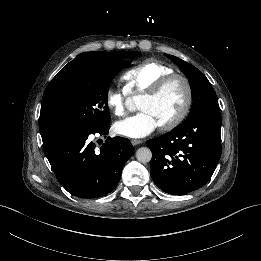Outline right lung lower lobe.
<instances>
[{
	"label": "right lung lower lobe",
	"mask_w": 261,
	"mask_h": 261,
	"mask_svg": "<svg viewBox=\"0 0 261 261\" xmlns=\"http://www.w3.org/2000/svg\"><path fill=\"white\" fill-rule=\"evenodd\" d=\"M109 128L106 124L95 131L65 130L43 144L57 180L73 196L98 198L117 186L122 168L134 149L126 138L108 137L95 150L91 136L107 135Z\"/></svg>",
	"instance_id": "98d812e1"
}]
</instances>
